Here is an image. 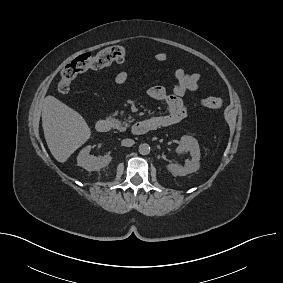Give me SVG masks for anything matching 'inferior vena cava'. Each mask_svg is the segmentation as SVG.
Segmentation results:
<instances>
[{
    "mask_svg": "<svg viewBox=\"0 0 283 283\" xmlns=\"http://www.w3.org/2000/svg\"><path fill=\"white\" fill-rule=\"evenodd\" d=\"M134 140H132V139H123L122 141H121V145L122 146H125V147H131L132 145H134Z\"/></svg>",
    "mask_w": 283,
    "mask_h": 283,
    "instance_id": "602c4592",
    "label": "inferior vena cava"
}]
</instances>
